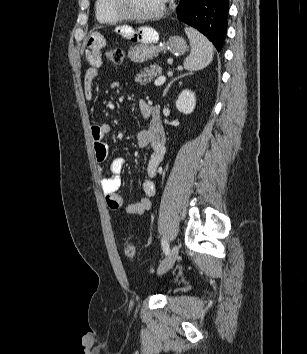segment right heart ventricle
Wrapping results in <instances>:
<instances>
[{"label":"right heart ventricle","mask_w":307,"mask_h":354,"mask_svg":"<svg viewBox=\"0 0 307 354\" xmlns=\"http://www.w3.org/2000/svg\"><path fill=\"white\" fill-rule=\"evenodd\" d=\"M95 16L97 21L102 24H113L121 20L111 10L109 0H96Z\"/></svg>","instance_id":"right-heart-ventricle-1"}]
</instances>
